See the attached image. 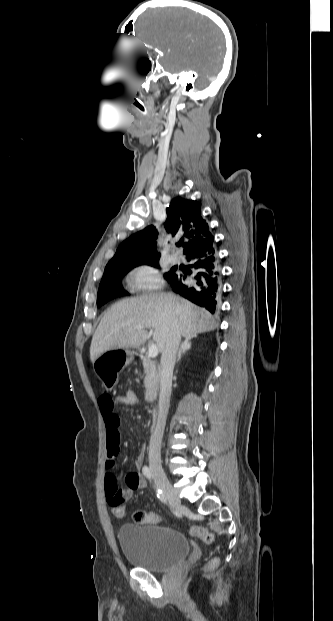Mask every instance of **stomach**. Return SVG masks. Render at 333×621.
I'll return each instance as SVG.
<instances>
[{
  "instance_id": "stomach-1",
  "label": "stomach",
  "mask_w": 333,
  "mask_h": 621,
  "mask_svg": "<svg viewBox=\"0 0 333 621\" xmlns=\"http://www.w3.org/2000/svg\"><path fill=\"white\" fill-rule=\"evenodd\" d=\"M134 359L133 351L129 349L112 348L98 357L94 364L95 373L107 385H112L117 374Z\"/></svg>"
}]
</instances>
